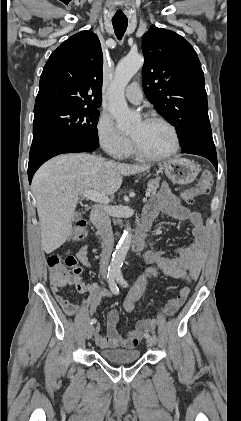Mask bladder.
<instances>
[{
  "mask_svg": "<svg viewBox=\"0 0 241 421\" xmlns=\"http://www.w3.org/2000/svg\"><path fill=\"white\" fill-rule=\"evenodd\" d=\"M99 355L104 360L114 364H127L133 363L140 358L138 350L126 349H102Z\"/></svg>",
  "mask_w": 241,
  "mask_h": 421,
  "instance_id": "31cf9c89",
  "label": "bladder"
}]
</instances>
